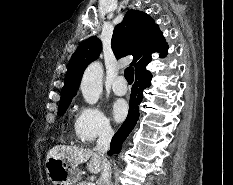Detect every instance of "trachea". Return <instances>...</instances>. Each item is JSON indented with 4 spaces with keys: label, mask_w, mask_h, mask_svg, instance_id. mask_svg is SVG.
I'll use <instances>...</instances> for the list:
<instances>
[{
    "label": "trachea",
    "mask_w": 233,
    "mask_h": 185,
    "mask_svg": "<svg viewBox=\"0 0 233 185\" xmlns=\"http://www.w3.org/2000/svg\"><path fill=\"white\" fill-rule=\"evenodd\" d=\"M124 76L128 83H133L134 80V68L133 67H127L124 72Z\"/></svg>",
    "instance_id": "trachea-1"
}]
</instances>
